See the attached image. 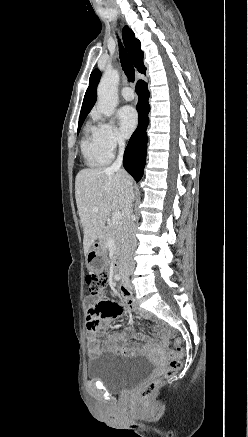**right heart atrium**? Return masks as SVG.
Returning a JSON list of instances; mask_svg holds the SVG:
<instances>
[{"label": "right heart atrium", "instance_id": "d8ad5b80", "mask_svg": "<svg viewBox=\"0 0 248 437\" xmlns=\"http://www.w3.org/2000/svg\"><path fill=\"white\" fill-rule=\"evenodd\" d=\"M96 118L98 119L96 128L101 148L109 157H112L116 149L124 144V139L113 124L99 119L98 116Z\"/></svg>", "mask_w": 248, "mask_h": 437}]
</instances>
